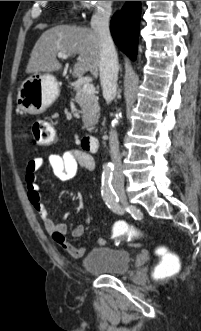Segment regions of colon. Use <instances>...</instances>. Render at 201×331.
<instances>
[{"mask_svg":"<svg viewBox=\"0 0 201 331\" xmlns=\"http://www.w3.org/2000/svg\"><path fill=\"white\" fill-rule=\"evenodd\" d=\"M32 138L38 146H48L55 142L56 131L47 119H37L31 127ZM139 233L124 221H118L113 226V236L118 240L131 239ZM162 258L155 268L154 275L157 279H165L174 275L179 269L177 258L165 251L161 252Z\"/></svg>","mask_w":201,"mask_h":331,"instance_id":"colon-1","label":"colon"}]
</instances>
